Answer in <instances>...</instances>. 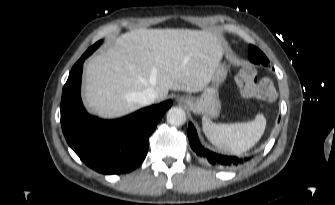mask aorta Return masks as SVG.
Instances as JSON below:
<instances>
[{"label":"aorta","instance_id":"aorta-1","mask_svg":"<svg viewBox=\"0 0 335 205\" xmlns=\"http://www.w3.org/2000/svg\"><path fill=\"white\" fill-rule=\"evenodd\" d=\"M186 121L185 111L180 107H172L167 112V122L174 126H181Z\"/></svg>","mask_w":335,"mask_h":205}]
</instances>
